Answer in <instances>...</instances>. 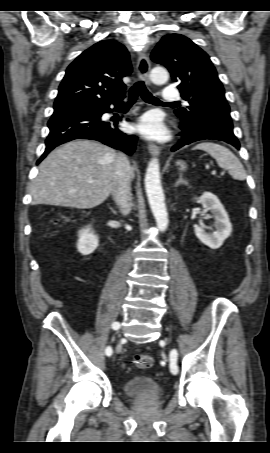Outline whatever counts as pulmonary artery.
Returning <instances> with one entry per match:
<instances>
[{
    "label": "pulmonary artery",
    "mask_w": 270,
    "mask_h": 453,
    "mask_svg": "<svg viewBox=\"0 0 270 453\" xmlns=\"http://www.w3.org/2000/svg\"><path fill=\"white\" fill-rule=\"evenodd\" d=\"M180 97V92L174 86L170 85L165 87L163 95L165 101H177Z\"/></svg>",
    "instance_id": "1"
}]
</instances>
